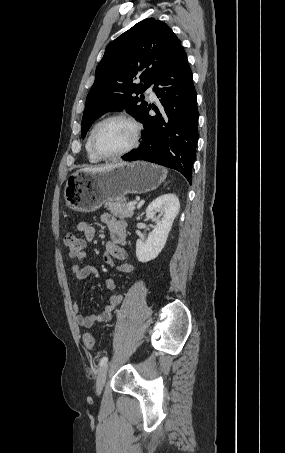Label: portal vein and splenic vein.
<instances>
[{"instance_id":"1","label":"portal vein and splenic vein","mask_w":285,"mask_h":453,"mask_svg":"<svg viewBox=\"0 0 285 453\" xmlns=\"http://www.w3.org/2000/svg\"><path fill=\"white\" fill-rule=\"evenodd\" d=\"M136 202H132L129 204V209L134 210L135 209Z\"/></svg>"}]
</instances>
